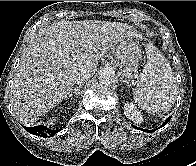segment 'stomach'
Returning <instances> with one entry per match:
<instances>
[{
	"label": "stomach",
	"instance_id": "1",
	"mask_svg": "<svg viewBox=\"0 0 196 166\" xmlns=\"http://www.w3.org/2000/svg\"><path fill=\"white\" fill-rule=\"evenodd\" d=\"M142 49L133 39H126L117 44L115 56L120 61L123 70L132 69L142 59Z\"/></svg>",
	"mask_w": 196,
	"mask_h": 166
}]
</instances>
